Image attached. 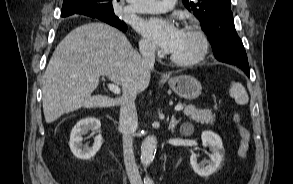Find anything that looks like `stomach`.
I'll use <instances>...</instances> for the list:
<instances>
[{
  "instance_id": "1",
  "label": "stomach",
  "mask_w": 293,
  "mask_h": 184,
  "mask_svg": "<svg viewBox=\"0 0 293 184\" xmlns=\"http://www.w3.org/2000/svg\"><path fill=\"white\" fill-rule=\"evenodd\" d=\"M168 84L178 96L188 100L196 99L202 91L201 83L190 75H180L171 78Z\"/></svg>"
}]
</instances>
